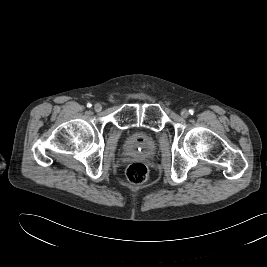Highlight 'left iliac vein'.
Returning a JSON list of instances; mask_svg holds the SVG:
<instances>
[{"mask_svg": "<svg viewBox=\"0 0 267 267\" xmlns=\"http://www.w3.org/2000/svg\"><path fill=\"white\" fill-rule=\"evenodd\" d=\"M188 115H189V112H188L186 109H183V110L181 111V116H182L183 118H187Z\"/></svg>", "mask_w": 267, "mask_h": 267, "instance_id": "obj_1", "label": "left iliac vein"}]
</instances>
